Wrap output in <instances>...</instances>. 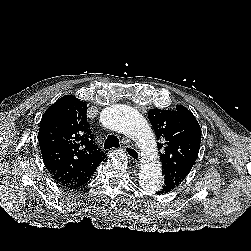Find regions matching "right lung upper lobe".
<instances>
[{"label":"right lung upper lobe","mask_w":251,"mask_h":251,"mask_svg":"<svg viewBox=\"0 0 251 251\" xmlns=\"http://www.w3.org/2000/svg\"><path fill=\"white\" fill-rule=\"evenodd\" d=\"M87 105L66 95L42 116L38 140L43 162L56 183L79 188L87 183L106 156L94 141Z\"/></svg>","instance_id":"right-lung-upper-lobe-1"}]
</instances>
